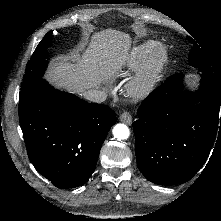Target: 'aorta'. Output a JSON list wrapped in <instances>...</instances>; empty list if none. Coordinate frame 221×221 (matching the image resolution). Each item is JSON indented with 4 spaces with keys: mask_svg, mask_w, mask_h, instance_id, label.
Returning <instances> with one entry per match:
<instances>
[{
    "mask_svg": "<svg viewBox=\"0 0 221 221\" xmlns=\"http://www.w3.org/2000/svg\"><path fill=\"white\" fill-rule=\"evenodd\" d=\"M114 137L117 140H125L130 136V130L125 124H116L112 130Z\"/></svg>",
    "mask_w": 221,
    "mask_h": 221,
    "instance_id": "obj_1",
    "label": "aorta"
}]
</instances>
